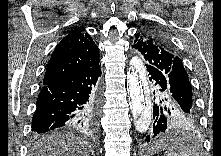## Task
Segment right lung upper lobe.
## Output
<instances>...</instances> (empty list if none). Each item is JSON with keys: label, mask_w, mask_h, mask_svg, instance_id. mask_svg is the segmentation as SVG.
Wrapping results in <instances>:
<instances>
[{"label": "right lung upper lobe", "mask_w": 221, "mask_h": 156, "mask_svg": "<svg viewBox=\"0 0 221 156\" xmlns=\"http://www.w3.org/2000/svg\"><path fill=\"white\" fill-rule=\"evenodd\" d=\"M99 63V49L89 34L73 30L55 48L46 68L43 85L83 72Z\"/></svg>", "instance_id": "right-lung-upper-lobe-1"}]
</instances>
